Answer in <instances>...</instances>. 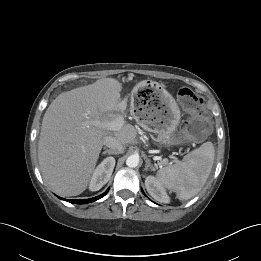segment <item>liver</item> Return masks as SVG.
Masks as SVG:
<instances>
[{
	"instance_id": "obj_1",
	"label": "liver",
	"mask_w": 261,
	"mask_h": 261,
	"mask_svg": "<svg viewBox=\"0 0 261 261\" xmlns=\"http://www.w3.org/2000/svg\"><path fill=\"white\" fill-rule=\"evenodd\" d=\"M121 83L113 78L61 93L47 108L38 142L45 182L62 196H77L89 184L103 146L113 135L121 144L134 142L137 131L124 124L110 132L100 126L119 118Z\"/></svg>"
}]
</instances>
